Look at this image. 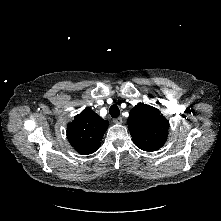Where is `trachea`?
Here are the masks:
<instances>
[{
	"instance_id": "obj_1",
	"label": "trachea",
	"mask_w": 221,
	"mask_h": 221,
	"mask_svg": "<svg viewBox=\"0 0 221 221\" xmlns=\"http://www.w3.org/2000/svg\"><path fill=\"white\" fill-rule=\"evenodd\" d=\"M109 113H110L111 117L117 118L120 115L119 107L117 105H112L109 108Z\"/></svg>"
}]
</instances>
